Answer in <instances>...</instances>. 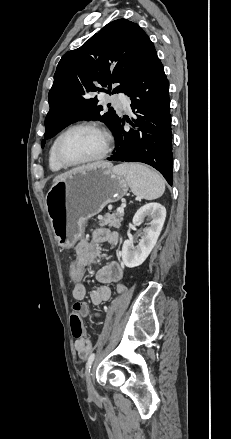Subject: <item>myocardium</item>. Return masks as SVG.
Instances as JSON below:
<instances>
[{
    "mask_svg": "<svg viewBox=\"0 0 231 439\" xmlns=\"http://www.w3.org/2000/svg\"><path fill=\"white\" fill-rule=\"evenodd\" d=\"M78 129H93V130H96L99 133H101V135L104 138V147L98 155H96L92 158H89L86 160H81V161H70V160L66 159L64 157V155L62 154L61 144H62V141L66 135H68L70 132L78 130ZM112 144H113V138H112L110 131L107 128H105L104 126H102L100 124L93 123V122H82V123H78V124H75V125L67 128L57 137L56 143H55V155H56L57 160L62 165L66 166V167L81 166V165L94 163V162H97V161L104 159L110 153V151L112 149Z\"/></svg>",
    "mask_w": 231,
    "mask_h": 439,
    "instance_id": "myocardium-1",
    "label": "myocardium"
}]
</instances>
